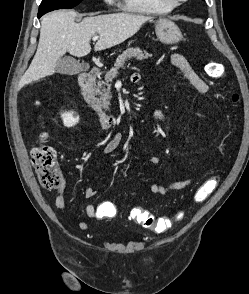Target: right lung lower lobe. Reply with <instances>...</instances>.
<instances>
[{
    "label": "right lung lower lobe",
    "mask_w": 249,
    "mask_h": 294,
    "mask_svg": "<svg viewBox=\"0 0 249 294\" xmlns=\"http://www.w3.org/2000/svg\"><path fill=\"white\" fill-rule=\"evenodd\" d=\"M42 15H43V14H39V13H38V18H40Z\"/></svg>",
    "instance_id": "obj_1"
}]
</instances>
